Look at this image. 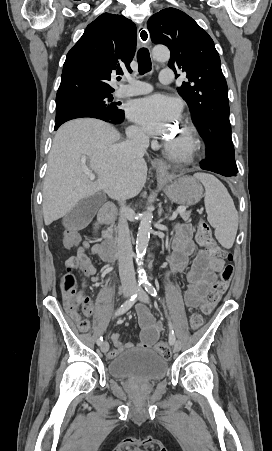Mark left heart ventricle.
Instances as JSON below:
<instances>
[{"mask_svg":"<svg viewBox=\"0 0 272 451\" xmlns=\"http://www.w3.org/2000/svg\"><path fill=\"white\" fill-rule=\"evenodd\" d=\"M179 139H181V140H183V141H185V140H186V134H185V132H184V130H183V129L181 130V133H180Z\"/></svg>","mask_w":272,"mask_h":451,"instance_id":"left-heart-ventricle-1","label":"left heart ventricle"}]
</instances>
